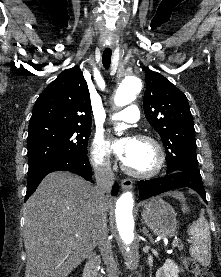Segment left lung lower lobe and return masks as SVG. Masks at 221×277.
Masks as SVG:
<instances>
[{
    "label": "left lung lower lobe",
    "mask_w": 221,
    "mask_h": 277,
    "mask_svg": "<svg viewBox=\"0 0 221 277\" xmlns=\"http://www.w3.org/2000/svg\"><path fill=\"white\" fill-rule=\"evenodd\" d=\"M183 187H189L195 190L207 202L202 178L193 176L187 172H174L162 178L142 180L138 183L140 197L142 199Z\"/></svg>",
    "instance_id": "1"
}]
</instances>
